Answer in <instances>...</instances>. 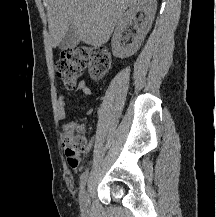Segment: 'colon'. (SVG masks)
I'll list each match as a JSON object with an SVG mask.
<instances>
[{"instance_id":"5ec220e1","label":"colon","mask_w":216,"mask_h":217,"mask_svg":"<svg viewBox=\"0 0 216 217\" xmlns=\"http://www.w3.org/2000/svg\"><path fill=\"white\" fill-rule=\"evenodd\" d=\"M111 65V53L106 47L78 46L62 51L61 57L55 63V73L65 86L73 87L85 67L89 69L93 79L100 80L109 72ZM63 129L65 130L63 141L65 155L69 165L76 169L80 156L88 149V142L79 124L71 122Z\"/></svg>"}]
</instances>
